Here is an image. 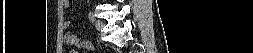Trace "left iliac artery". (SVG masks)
I'll list each match as a JSON object with an SVG mask.
<instances>
[{"instance_id": "44dca946", "label": "left iliac artery", "mask_w": 253, "mask_h": 53, "mask_svg": "<svg viewBox=\"0 0 253 53\" xmlns=\"http://www.w3.org/2000/svg\"><path fill=\"white\" fill-rule=\"evenodd\" d=\"M88 18L91 22L95 21V15L93 14V12L89 11L88 13Z\"/></svg>"}]
</instances>
